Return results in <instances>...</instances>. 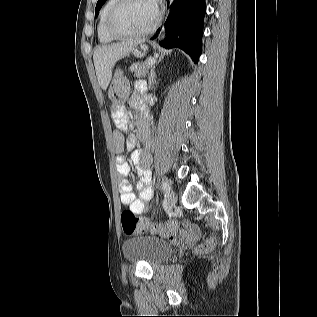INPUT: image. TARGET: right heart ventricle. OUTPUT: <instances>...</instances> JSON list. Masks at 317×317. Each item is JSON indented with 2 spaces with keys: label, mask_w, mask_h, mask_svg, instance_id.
Masks as SVG:
<instances>
[{
  "label": "right heart ventricle",
  "mask_w": 317,
  "mask_h": 317,
  "mask_svg": "<svg viewBox=\"0 0 317 317\" xmlns=\"http://www.w3.org/2000/svg\"><path fill=\"white\" fill-rule=\"evenodd\" d=\"M114 3H115V0H107L100 11L97 33H98V38L100 42L102 43H110L114 41L115 39L114 37L109 35L106 29L107 16Z\"/></svg>",
  "instance_id": "obj_1"
}]
</instances>
